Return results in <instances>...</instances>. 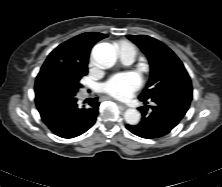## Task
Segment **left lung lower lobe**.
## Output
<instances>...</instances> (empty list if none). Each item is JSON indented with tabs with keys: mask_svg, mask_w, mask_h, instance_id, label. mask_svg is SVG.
<instances>
[{
	"mask_svg": "<svg viewBox=\"0 0 222 187\" xmlns=\"http://www.w3.org/2000/svg\"><path fill=\"white\" fill-rule=\"evenodd\" d=\"M192 100V87H182L177 91H166L151 101L152 111L149 106L141 107L142 120L138 125H126L133 134L153 139L167 135L186 114ZM147 104L146 101H144Z\"/></svg>",
	"mask_w": 222,
	"mask_h": 187,
	"instance_id": "left-lung-lower-lobe-1",
	"label": "left lung lower lobe"
}]
</instances>
